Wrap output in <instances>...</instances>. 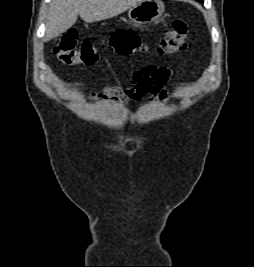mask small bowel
<instances>
[{
    "label": "small bowel",
    "instance_id": "c3829d8e",
    "mask_svg": "<svg viewBox=\"0 0 254 267\" xmlns=\"http://www.w3.org/2000/svg\"><path fill=\"white\" fill-rule=\"evenodd\" d=\"M172 73L168 68L148 65L134 71L130 75L129 84L125 88L106 86L101 94L92 92L90 99L102 97L125 105L128 101H138L146 95H151V102L166 101L168 94L164 85L170 81Z\"/></svg>",
    "mask_w": 254,
    "mask_h": 267
}]
</instances>
